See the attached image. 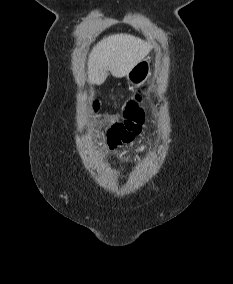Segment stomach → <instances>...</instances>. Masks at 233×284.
<instances>
[{"instance_id": "1", "label": "stomach", "mask_w": 233, "mask_h": 284, "mask_svg": "<svg viewBox=\"0 0 233 284\" xmlns=\"http://www.w3.org/2000/svg\"><path fill=\"white\" fill-rule=\"evenodd\" d=\"M150 59L146 58L138 62L127 74V81L130 85L140 86L150 76Z\"/></svg>"}]
</instances>
